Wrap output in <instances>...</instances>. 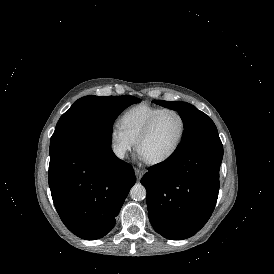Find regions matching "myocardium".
Here are the masks:
<instances>
[{
  "mask_svg": "<svg viewBox=\"0 0 274 274\" xmlns=\"http://www.w3.org/2000/svg\"><path fill=\"white\" fill-rule=\"evenodd\" d=\"M175 113L178 115V117L180 118L181 121V128H180V132L177 136V139L174 143L173 148L171 149V151L164 157L157 159V160H151V161H145L149 166H161L166 164L167 162H169L177 153L180 144L183 140L185 131H186V120L184 115L175 108H164L162 109L160 112H158L148 123L147 125L143 128V130L139 133V135L137 136L135 143H136V150L139 153V148L141 145V142L151 133V131L153 130V128L155 127V125L157 124V122L159 121V119L165 114V113Z\"/></svg>",
  "mask_w": 274,
  "mask_h": 274,
  "instance_id": "myocardium-1",
  "label": "myocardium"
}]
</instances>
